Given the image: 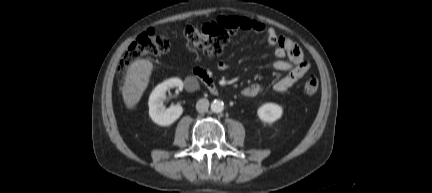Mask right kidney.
Returning a JSON list of instances; mask_svg holds the SVG:
<instances>
[{"label": "right kidney", "instance_id": "obj_1", "mask_svg": "<svg viewBox=\"0 0 432 193\" xmlns=\"http://www.w3.org/2000/svg\"><path fill=\"white\" fill-rule=\"evenodd\" d=\"M173 87L182 90V80L179 78H171L160 83L155 87L149 97V116L153 122L160 126H169L173 124L183 113V108L180 105L171 106L169 108H165L163 105L166 91Z\"/></svg>", "mask_w": 432, "mask_h": 193}]
</instances>
